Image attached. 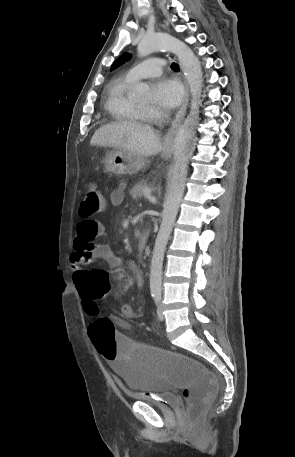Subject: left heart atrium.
<instances>
[{
  "instance_id": "left-heart-atrium-1",
  "label": "left heart atrium",
  "mask_w": 295,
  "mask_h": 457,
  "mask_svg": "<svg viewBox=\"0 0 295 457\" xmlns=\"http://www.w3.org/2000/svg\"><path fill=\"white\" fill-rule=\"evenodd\" d=\"M183 97L180 84L173 79H161L154 89V101L162 109L170 110L179 105Z\"/></svg>"
}]
</instances>
